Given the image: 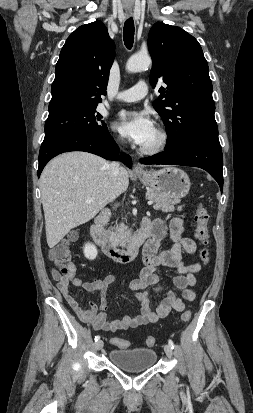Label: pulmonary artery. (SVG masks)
<instances>
[{
  "instance_id": "1",
  "label": "pulmonary artery",
  "mask_w": 253,
  "mask_h": 413,
  "mask_svg": "<svg viewBox=\"0 0 253 413\" xmlns=\"http://www.w3.org/2000/svg\"><path fill=\"white\" fill-rule=\"evenodd\" d=\"M148 90L147 83L139 81L130 89L119 92L117 99L122 102H136L143 99L148 94Z\"/></svg>"
}]
</instances>
